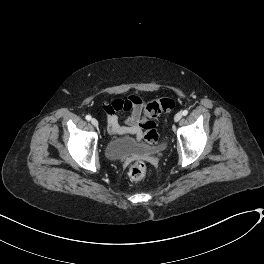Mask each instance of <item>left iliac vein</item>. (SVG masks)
Here are the masks:
<instances>
[{"instance_id":"obj_1","label":"left iliac vein","mask_w":264,"mask_h":264,"mask_svg":"<svg viewBox=\"0 0 264 264\" xmlns=\"http://www.w3.org/2000/svg\"><path fill=\"white\" fill-rule=\"evenodd\" d=\"M181 118H182V113L179 112V113H177V114L175 115V117H174V121H175V122H178Z\"/></svg>"}]
</instances>
